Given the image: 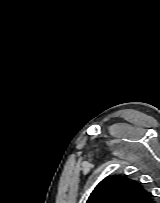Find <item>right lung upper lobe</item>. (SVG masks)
<instances>
[{
	"mask_svg": "<svg viewBox=\"0 0 160 203\" xmlns=\"http://www.w3.org/2000/svg\"><path fill=\"white\" fill-rule=\"evenodd\" d=\"M86 203H153L142 186L123 176L102 180Z\"/></svg>",
	"mask_w": 160,
	"mask_h": 203,
	"instance_id": "cb5924a9",
	"label": "right lung upper lobe"
}]
</instances>
